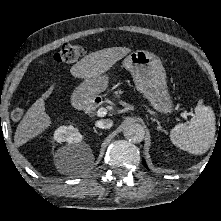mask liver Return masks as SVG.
Here are the masks:
<instances>
[{
  "mask_svg": "<svg viewBox=\"0 0 221 221\" xmlns=\"http://www.w3.org/2000/svg\"><path fill=\"white\" fill-rule=\"evenodd\" d=\"M131 52L126 47H111L86 55L70 69L75 78L89 79L100 73H105L119 60ZM55 84L51 85L42 96L36 100L19 123L14 141L17 147L27 143L45 131L51 125V118L46 113L45 99L54 90Z\"/></svg>",
  "mask_w": 221,
  "mask_h": 221,
  "instance_id": "liver-1",
  "label": "liver"
}]
</instances>
